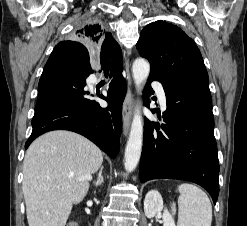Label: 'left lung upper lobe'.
Here are the masks:
<instances>
[{
    "label": "left lung upper lobe",
    "instance_id": "obj_1",
    "mask_svg": "<svg viewBox=\"0 0 247 226\" xmlns=\"http://www.w3.org/2000/svg\"><path fill=\"white\" fill-rule=\"evenodd\" d=\"M140 56L150 62V75L167 83L184 75L208 79L195 42L179 27L158 20L148 24L136 44Z\"/></svg>",
    "mask_w": 247,
    "mask_h": 226
}]
</instances>
